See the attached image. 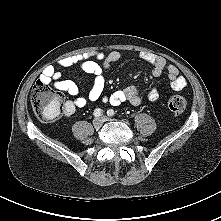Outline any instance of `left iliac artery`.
<instances>
[{"mask_svg": "<svg viewBox=\"0 0 221 221\" xmlns=\"http://www.w3.org/2000/svg\"><path fill=\"white\" fill-rule=\"evenodd\" d=\"M114 110L113 109H109L108 111H107V115L108 116H114Z\"/></svg>", "mask_w": 221, "mask_h": 221, "instance_id": "left-iliac-artery-1", "label": "left iliac artery"}]
</instances>
